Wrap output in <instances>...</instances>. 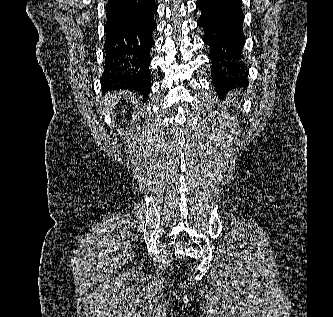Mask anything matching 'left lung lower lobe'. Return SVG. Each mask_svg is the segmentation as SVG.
<instances>
[{"label":"left lung lower lobe","mask_w":333,"mask_h":317,"mask_svg":"<svg viewBox=\"0 0 333 317\" xmlns=\"http://www.w3.org/2000/svg\"><path fill=\"white\" fill-rule=\"evenodd\" d=\"M201 11L197 24L210 47L211 74L219 98L248 84L244 64L236 62L244 46L242 0H197Z\"/></svg>","instance_id":"0a47b994"}]
</instances>
